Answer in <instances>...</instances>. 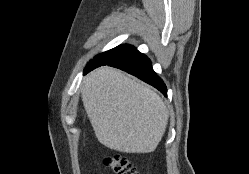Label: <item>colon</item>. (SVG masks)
I'll return each instance as SVG.
<instances>
[{
	"mask_svg": "<svg viewBox=\"0 0 249 174\" xmlns=\"http://www.w3.org/2000/svg\"><path fill=\"white\" fill-rule=\"evenodd\" d=\"M103 161L113 174H139L129 159L119 153L105 155Z\"/></svg>",
	"mask_w": 249,
	"mask_h": 174,
	"instance_id": "5ec220e1",
	"label": "colon"
}]
</instances>
